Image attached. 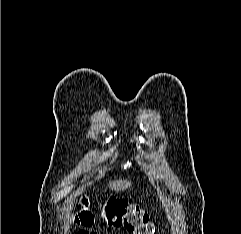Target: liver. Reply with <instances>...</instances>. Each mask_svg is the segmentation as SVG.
<instances>
[{
    "instance_id": "liver-1",
    "label": "liver",
    "mask_w": 241,
    "mask_h": 234,
    "mask_svg": "<svg viewBox=\"0 0 241 234\" xmlns=\"http://www.w3.org/2000/svg\"><path fill=\"white\" fill-rule=\"evenodd\" d=\"M130 185H131V182L123 181V180H116V181L109 182L110 189L117 190V191L125 190L128 187H130Z\"/></svg>"
}]
</instances>
